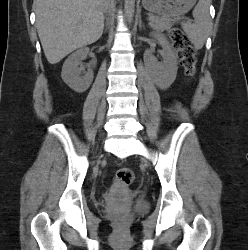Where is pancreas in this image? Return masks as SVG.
<instances>
[{"label":"pancreas","mask_w":248,"mask_h":250,"mask_svg":"<svg viewBox=\"0 0 248 250\" xmlns=\"http://www.w3.org/2000/svg\"><path fill=\"white\" fill-rule=\"evenodd\" d=\"M150 27L158 31L169 30L172 26V23L169 20L162 18H156L154 21H150Z\"/></svg>","instance_id":"pancreas-1"}]
</instances>
